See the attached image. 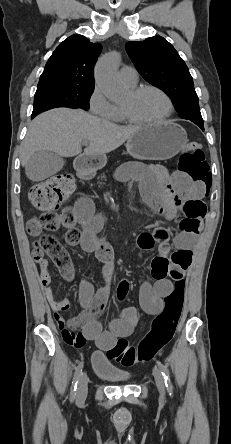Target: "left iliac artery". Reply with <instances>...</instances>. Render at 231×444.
Wrapping results in <instances>:
<instances>
[{
    "label": "left iliac artery",
    "instance_id": "left-iliac-artery-1",
    "mask_svg": "<svg viewBox=\"0 0 231 444\" xmlns=\"http://www.w3.org/2000/svg\"><path fill=\"white\" fill-rule=\"evenodd\" d=\"M157 365L159 366L160 371L164 377L166 388H167L168 392H170V394H171L172 384H171V380H170V376H169V371L160 361H157Z\"/></svg>",
    "mask_w": 231,
    "mask_h": 444
}]
</instances>
